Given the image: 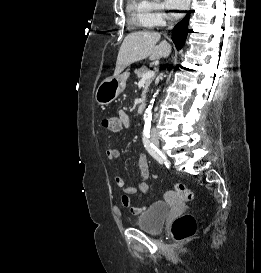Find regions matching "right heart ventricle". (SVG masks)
Masks as SVG:
<instances>
[{
  "instance_id": "e07e8e85",
  "label": "right heart ventricle",
  "mask_w": 261,
  "mask_h": 273,
  "mask_svg": "<svg viewBox=\"0 0 261 273\" xmlns=\"http://www.w3.org/2000/svg\"><path fill=\"white\" fill-rule=\"evenodd\" d=\"M148 2L146 0H128L127 12L130 21L138 29H149L153 27L148 17Z\"/></svg>"
}]
</instances>
